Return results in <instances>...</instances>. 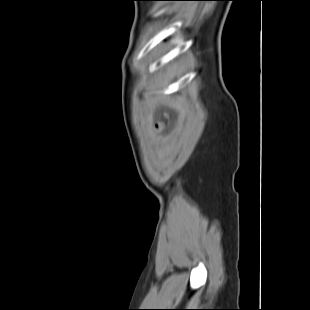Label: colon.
I'll return each mask as SVG.
<instances>
[{"mask_svg": "<svg viewBox=\"0 0 310 310\" xmlns=\"http://www.w3.org/2000/svg\"><path fill=\"white\" fill-rule=\"evenodd\" d=\"M161 127H162V126H161L160 123H157V124H156V128H157V129H160Z\"/></svg>", "mask_w": 310, "mask_h": 310, "instance_id": "5ec220e1", "label": "colon"}]
</instances>
